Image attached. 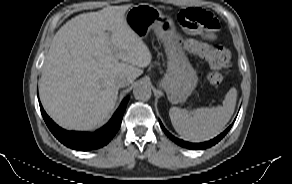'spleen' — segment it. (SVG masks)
<instances>
[{
  "mask_svg": "<svg viewBox=\"0 0 292 184\" xmlns=\"http://www.w3.org/2000/svg\"><path fill=\"white\" fill-rule=\"evenodd\" d=\"M237 91L231 88L223 106L187 111L171 107L169 116L176 132L185 140L201 142L218 135L230 120L236 105Z\"/></svg>",
  "mask_w": 292,
  "mask_h": 184,
  "instance_id": "spleen-1",
  "label": "spleen"
}]
</instances>
